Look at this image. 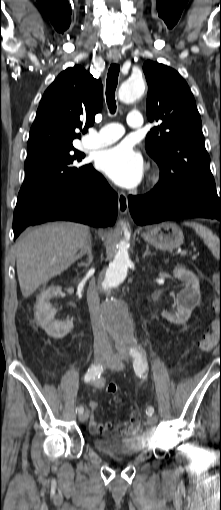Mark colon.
<instances>
[{
    "mask_svg": "<svg viewBox=\"0 0 221 510\" xmlns=\"http://www.w3.org/2000/svg\"><path fill=\"white\" fill-rule=\"evenodd\" d=\"M220 287H221V278H220ZM221 343V312L220 318L218 322H215L211 328L203 335L201 340L198 343L199 350L203 353H208L214 349V347ZM118 390V387L115 383H110L107 387V392L109 394H115ZM119 401V399H117ZM134 414L139 418V412L136 410Z\"/></svg>",
    "mask_w": 221,
    "mask_h": 510,
    "instance_id": "5ec220e1",
    "label": "colon"
}]
</instances>
